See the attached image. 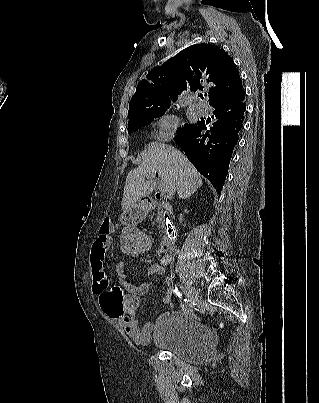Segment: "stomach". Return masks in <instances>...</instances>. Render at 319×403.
<instances>
[{"instance_id":"obj_1","label":"stomach","mask_w":319,"mask_h":403,"mask_svg":"<svg viewBox=\"0 0 319 403\" xmlns=\"http://www.w3.org/2000/svg\"><path fill=\"white\" fill-rule=\"evenodd\" d=\"M119 216L122 228H125V226L141 224L142 222V215L140 214L138 207L135 205L128 209L120 210Z\"/></svg>"}]
</instances>
